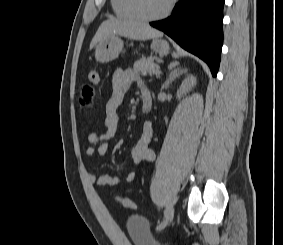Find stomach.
<instances>
[{"label": "stomach", "instance_id": "stomach-1", "mask_svg": "<svg viewBox=\"0 0 283 245\" xmlns=\"http://www.w3.org/2000/svg\"><path fill=\"white\" fill-rule=\"evenodd\" d=\"M124 46L123 40L117 35H111L102 39L96 47L95 59L100 63L110 62L118 57ZM151 49L161 55H167L170 51L169 44L165 40L155 39L151 44ZM173 57L178 54L173 52Z\"/></svg>", "mask_w": 283, "mask_h": 245}]
</instances>
